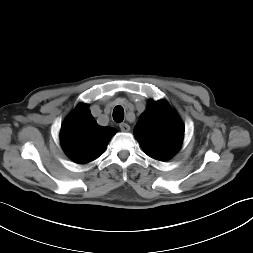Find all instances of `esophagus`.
<instances>
[{
  "mask_svg": "<svg viewBox=\"0 0 253 253\" xmlns=\"http://www.w3.org/2000/svg\"><path fill=\"white\" fill-rule=\"evenodd\" d=\"M119 127L123 132H128L130 130V126L127 123H121Z\"/></svg>",
  "mask_w": 253,
  "mask_h": 253,
  "instance_id": "obj_1",
  "label": "esophagus"
}]
</instances>
